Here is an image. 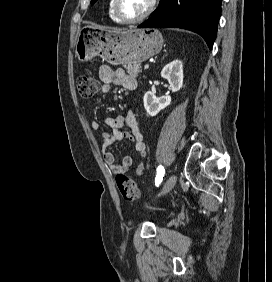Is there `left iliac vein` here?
<instances>
[{
	"label": "left iliac vein",
	"mask_w": 272,
	"mask_h": 282,
	"mask_svg": "<svg viewBox=\"0 0 272 282\" xmlns=\"http://www.w3.org/2000/svg\"><path fill=\"white\" fill-rule=\"evenodd\" d=\"M177 181V177L175 174H172L167 181L165 182V184L163 185V188L161 189L159 196H163L165 194H167L168 192H170L173 187L175 186Z\"/></svg>",
	"instance_id": "1"
}]
</instances>
